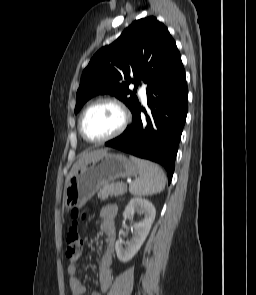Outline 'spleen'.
Masks as SVG:
<instances>
[{
	"label": "spleen",
	"instance_id": "obj_1",
	"mask_svg": "<svg viewBox=\"0 0 256 295\" xmlns=\"http://www.w3.org/2000/svg\"><path fill=\"white\" fill-rule=\"evenodd\" d=\"M130 158L139 169V177L129 185L131 194L148 196L159 193L165 188V174L157 164L134 156Z\"/></svg>",
	"mask_w": 256,
	"mask_h": 295
}]
</instances>
